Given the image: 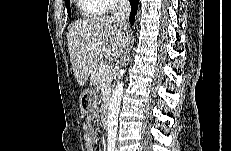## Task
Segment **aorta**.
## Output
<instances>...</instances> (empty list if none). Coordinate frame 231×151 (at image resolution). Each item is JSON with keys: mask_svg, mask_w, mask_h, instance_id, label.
Masks as SVG:
<instances>
[{"mask_svg": "<svg viewBox=\"0 0 231 151\" xmlns=\"http://www.w3.org/2000/svg\"><path fill=\"white\" fill-rule=\"evenodd\" d=\"M123 87H124L123 82L117 83L112 93L111 101L109 104L108 119H107V122H108L107 134H108L109 143H114L116 140L117 127H118V115H119L120 104H121V99H122Z\"/></svg>", "mask_w": 231, "mask_h": 151, "instance_id": "1", "label": "aorta"}]
</instances>
